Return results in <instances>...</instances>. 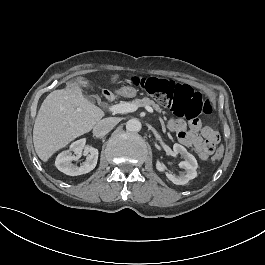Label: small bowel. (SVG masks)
I'll return each instance as SVG.
<instances>
[{"label":"small bowel","mask_w":265,"mask_h":265,"mask_svg":"<svg viewBox=\"0 0 265 265\" xmlns=\"http://www.w3.org/2000/svg\"><path fill=\"white\" fill-rule=\"evenodd\" d=\"M168 129L176 134L180 144L191 148L201 161L212 155L220 141V135L211 126H203L198 120L187 123L182 118H171Z\"/></svg>","instance_id":"1"}]
</instances>
